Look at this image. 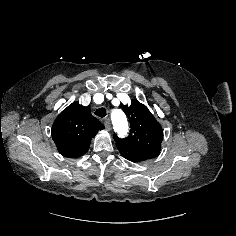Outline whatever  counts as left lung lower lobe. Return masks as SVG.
Here are the masks:
<instances>
[{"instance_id":"1","label":"left lung lower lobe","mask_w":236,"mask_h":236,"mask_svg":"<svg viewBox=\"0 0 236 236\" xmlns=\"http://www.w3.org/2000/svg\"><path fill=\"white\" fill-rule=\"evenodd\" d=\"M118 150L124 158L132 162L146 161L157 157L160 153V151L138 150L126 147H118Z\"/></svg>"}]
</instances>
